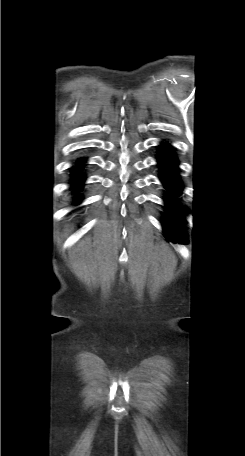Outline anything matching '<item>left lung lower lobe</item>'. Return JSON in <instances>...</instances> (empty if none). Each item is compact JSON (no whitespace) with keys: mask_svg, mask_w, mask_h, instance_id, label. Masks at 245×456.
<instances>
[{"mask_svg":"<svg viewBox=\"0 0 245 456\" xmlns=\"http://www.w3.org/2000/svg\"><path fill=\"white\" fill-rule=\"evenodd\" d=\"M178 160L175 157L172 147L165 143L159 146L158 165L160 167V180L166 187L168 193L166 204L168 205L165 213L164 233L169 240L185 242L184 218L181 210L176 209L172 197L182 190V182L177 175Z\"/></svg>","mask_w":245,"mask_h":456,"instance_id":"left-lung-lower-lobe-1","label":"left lung lower lobe"}]
</instances>
